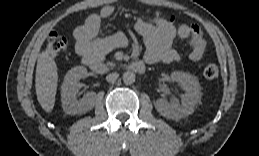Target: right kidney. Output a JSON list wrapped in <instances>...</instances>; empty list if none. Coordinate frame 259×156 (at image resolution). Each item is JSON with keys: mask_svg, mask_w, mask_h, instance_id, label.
Returning <instances> with one entry per match:
<instances>
[{"mask_svg": "<svg viewBox=\"0 0 259 156\" xmlns=\"http://www.w3.org/2000/svg\"><path fill=\"white\" fill-rule=\"evenodd\" d=\"M87 69L76 66L69 70L64 77L61 86L62 107L66 114H83L91 110L95 105V92H88L80 100H77V86L79 80L87 77Z\"/></svg>", "mask_w": 259, "mask_h": 156, "instance_id": "ca27d5eb", "label": "right kidney"}]
</instances>
